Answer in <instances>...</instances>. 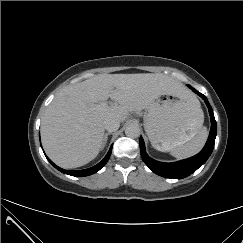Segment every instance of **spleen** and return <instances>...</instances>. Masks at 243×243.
<instances>
[{
	"instance_id": "obj_1",
	"label": "spleen",
	"mask_w": 243,
	"mask_h": 243,
	"mask_svg": "<svg viewBox=\"0 0 243 243\" xmlns=\"http://www.w3.org/2000/svg\"><path fill=\"white\" fill-rule=\"evenodd\" d=\"M200 115L203 117L202 110H200ZM207 137H208L207 128L206 127L200 128L198 133L191 140L171 149L170 153L172 156H174L177 159L191 157L197 154L203 148L207 140Z\"/></svg>"
}]
</instances>
